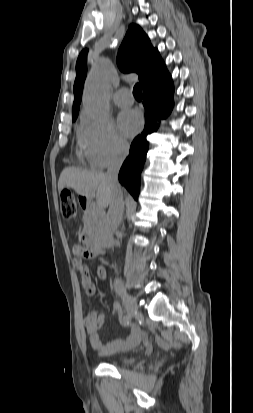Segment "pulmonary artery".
Masks as SVG:
<instances>
[{
  "mask_svg": "<svg viewBox=\"0 0 253 413\" xmlns=\"http://www.w3.org/2000/svg\"><path fill=\"white\" fill-rule=\"evenodd\" d=\"M114 102L120 107H126L134 103V98L127 89H120L114 96Z\"/></svg>",
  "mask_w": 253,
  "mask_h": 413,
  "instance_id": "obj_1",
  "label": "pulmonary artery"
}]
</instances>
